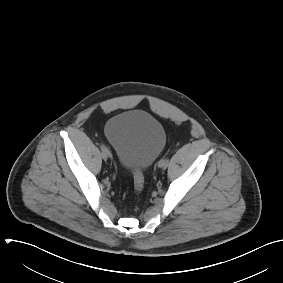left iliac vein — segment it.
<instances>
[{"label": "left iliac vein", "mask_w": 283, "mask_h": 283, "mask_svg": "<svg viewBox=\"0 0 283 283\" xmlns=\"http://www.w3.org/2000/svg\"><path fill=\"white\" fill-rule=\"evenodd\" d=\"M160 168H166L167 166H168V164H166V163H161V164H159L158 165Z\"/></svg>", "instance_id": "1"}]
</instances>
